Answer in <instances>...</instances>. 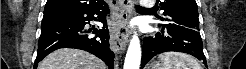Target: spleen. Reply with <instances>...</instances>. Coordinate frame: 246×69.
<instances>
[{"label": "spleen", "instance_id": "spleen-1", "mask_svg": "<svg viewBox=\"0 0 246 69\" xmlns=\"http://www.w3.org/2000/svg\"><path fill=\"white\" fill-rule=\"evenodd\" d=\"M164 69H202L196 59L178 52H166L159 55Z\"/></svg>", "mask_w": 246, "mask_h": 69}]
</instances>
